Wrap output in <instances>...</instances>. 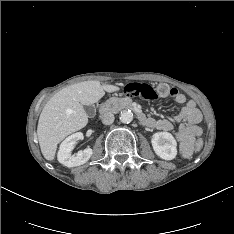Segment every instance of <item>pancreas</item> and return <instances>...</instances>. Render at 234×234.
Wrapping results in <instances>:
<instances>
[{
	"instance_id": "1",
	"label": "pancreas",
	"mask_w": 234,
	"mask_h": 234,
	"mask_svg": "<svg viewBox=\"0 0 234 234\" xmlns=\"http://www.w3.org/2000/svg\"><path fill=\"white\" fill-rule=\"evenodd\" d=\"M116 99L111 98L108 101H106L105 106H104V110L105 111H112L114 109V105H115Z\"/></svg>"
}]
</instances>
